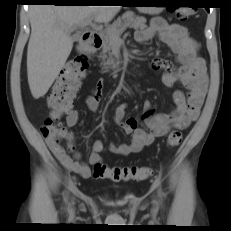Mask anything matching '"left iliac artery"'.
Returning a JSON list of instances; mask_svg holds the SVG:
<instances>
[{
    "label": "left iliac artery",
    "mask_w": 231,
    "mask_h": 231,
    "mask_svg": "<svg viewBox=\"0 0 231 231\" xmlns=\"http://www.w3.org/2000/svg\"><path fill=\"white\" fill-rule=\"evenodd\" d=\"M156 184H157V186H159V182L158 181H156ZM161 190H160V188H159V192H160Z\"/></svg>",
    "instance_id": "1"
}]
</instances>
